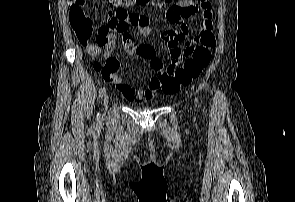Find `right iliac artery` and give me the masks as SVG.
Segmentation results:
<instances>
[{
    "label": "right iliac artery",
    "mask_w": 295,
    "mask_h": 202,
    "mask_svg": "<svg viewBox=\"0 0 295 202\" xmlns=\"http://www.w3.org/2000/svg\"><path fill=\"white\" fill-rule=\"evenodd\" d=\"M105 93H106V88L105 87L101 88L99 90V97L102 98L105 95Z\"/></svg>",
    "instance_id": "right-iliac-artery-1"
}]
</instances>
